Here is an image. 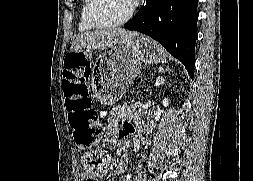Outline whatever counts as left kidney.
Segmentation results:
<instances>
[{"mask_svg": "<svg viewBox=\"0 0 253 181\" xmlns=\"http://www.w3.org/2000/svg\"><path fill=\"white\" fill-rule=\"evenodd\" d=\"M162 103H163L164 107L169 106V99L168 98H164L163 101H162Z\"/></svg>", "mask_w": 253, "mask_h": 181, "instance_id": "obj_1", "label": "left kidney"}]
</instances>
